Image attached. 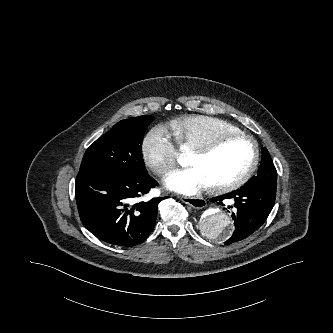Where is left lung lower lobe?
<instances>
[{"mask_svg":"<svg viewBox=\"0 0 333 333\" xmlns=\"http://www.w3.org/2000/svg\"><path fill=\"white\" fill-rule=\"evenodd\" d=\"M276 198V191L258 188H245L214 198V202L223 204V200H234L235 212L232 213L235 230L225 244L245 239L255 232L267 219ZM232 207V206H231Z\"/></svg>","mask_w":333,"mask_h":333,"instance_id":"obj_1","label":"left lung lower lobe"}]
</instances>
